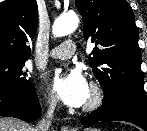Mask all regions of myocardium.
<instances>
[{"mask_svg": "<svg viewBox=\"0 0 147 131\" xmlns=\"http://www.w3.org/2000/svg\"><path fill=\"white\" fill-rule=\"evenodd\" d=\"M105 99V92L102 85L93 81L90 86V96L83 107L84 112H93L103 104Z\"/></svg>", "mask_w": 147, "mask_h": 131, "instance_id": "myocardium-1", "label": "myocardium"}]
</instances>
